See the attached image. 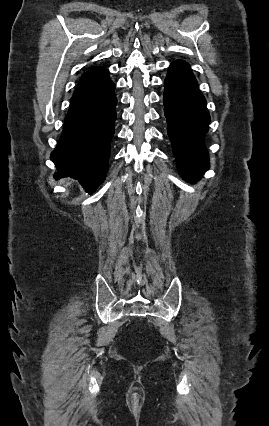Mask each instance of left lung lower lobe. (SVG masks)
Returning <instances> with one entry per match:
<instances>
[{"instance_id":"obj_1","label":"left lung lower lobe","mask_w":269,"mask_h":426,"mask_svg":"<svg viewBox=\"0 0 269 426\" xmlns=\"http://www.w3.org/2000/svg\"><path fill=\"white\" fill-rule=\"evenodd\" d=\"M164 87V113L177 166L186 180L194 182L209 167L204 145L210 121L206 100L190 67L182 60L170 65Z\"/></svg>"}]
</instances>
